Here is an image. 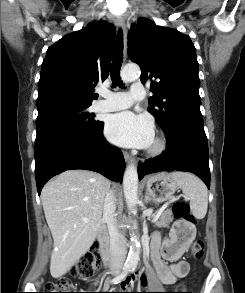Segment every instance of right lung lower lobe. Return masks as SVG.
<instances>
[{"instance_id":"obj_1","label":"right lung lower lobe","mask_w":245,"mask_h":293,"mask_svg":"<svg viewBox=\"0 0 245 293\" xmlns=\"http://www.w3.org/2000/svg\"><path fill=\"white\" fill-rule=\"evenodd\" d=\"M103 122L81 132L58 134L35 147L38 194L53 176L66 170L85 169L121 182L125 160L122 152L103 137Z\"/></svg>"}]
</instances>
